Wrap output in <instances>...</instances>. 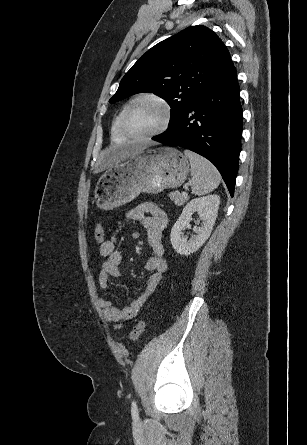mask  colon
<instances>
[{
    "label": "colon",
    "mask_w": 307,
    "mask_h": 445,
    "mask_svg": "<svg viewBox=\"0 0 307 445\" xmlns=\"http://www.w3.org/2000/svg\"><path fill=\"white\" fill-rule=\"evenodd\" d=\"M105 238V229L102 222H98L94 230V239L98 244H102ZM145 322L139 320L129 335L130 342L136 341L144 332Z\"/></svg>",
    "instance_id": "colon-1"
}]
</instances>
